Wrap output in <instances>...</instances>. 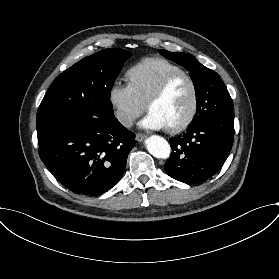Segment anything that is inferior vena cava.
Returning a JSON list of instances; mask_svg holds the SVG:
<instances>
[{"instance_id": "1", "label": "inferior vena cava", "mask_w": 279, "mask_h": 279, "mask_svg": "<svg viewBox=\"0 0 279 279\" xmlns=\"http://www.w3.org/2000/svg\"><path fill=\"white\" fill-rule=\"evenodd\" d=\"M134 119H135L134 117H129L126 114H121L120 118H119V121L122 125L128 126L133 122Z\"/></svg>"}]
</instances>
